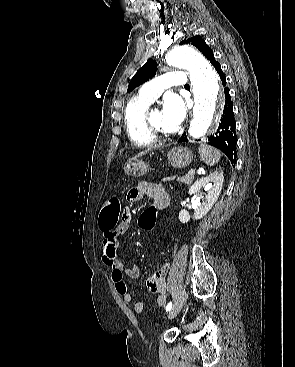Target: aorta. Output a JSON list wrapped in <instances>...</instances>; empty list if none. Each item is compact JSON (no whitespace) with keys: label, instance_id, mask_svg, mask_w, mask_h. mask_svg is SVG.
<instances>
[{"label":"aorta","instance_id":"1","mask_svg":"<svg viewBox=\"0 0 295 367\" xmlns=\"http://www.w3.org/2000/svg\"><path fill=\"white\" fill-rule=\"evenodd\" d=\"M166 63L172 67L186 68L190 73L195 105L189 135L194 139L202 138L222 108L219 76L201 54L188 47L173 48L166 55Z\"/></svg>","mask_w":295,"mask_h":367}]
</instances>
